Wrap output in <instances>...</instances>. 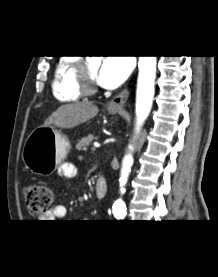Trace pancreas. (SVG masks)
<instances>
[{"label":"pancreas","mask_w":218,"mask_h":277,"mask_svg":"<svg viewBox=\"0 0 218 277\" xmlns=\"http://www.w3.org/2000/svg\"><path fill=\"white\" fill-rule=\"evenodd\" d=\"M94 140L93 135H88L87 137L82 138L76 145L77 150H86L91 142Z\"/></svg>","instance_id":"pancreas-1"}]
</instances>
